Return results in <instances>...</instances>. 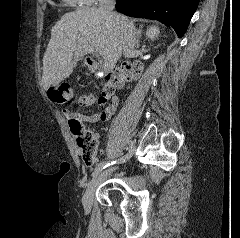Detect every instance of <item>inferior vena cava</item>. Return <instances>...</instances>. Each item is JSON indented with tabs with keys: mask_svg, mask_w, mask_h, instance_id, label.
<instances>
[{
	"mask_svg": "<svg viewBox=\"0 0 240 238\" xmlns=\"http://www.w3.org/2000/svg\"><path fill=\"white\" fill-rule=\"evenodd\" d=\"M115 0H99L98 11L103 14L106 18L120 22L122 25L125 24L122 19L113 12L115 8ZM136 42V31L134 27L127 26L124 31L122 50L125 57H132L134 53V47Z\"/></svg>",
	"mask_w": 240,
	"mask_h": 238,
	"instance_id": "602c4592",
	"label": "inferior vena cava"
}]
</instances>
